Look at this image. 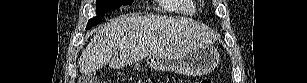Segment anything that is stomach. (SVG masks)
Returning a JSON list of instances; mask_svg holds the SVG:
<instances>
[{"label":"stomach","instance_id":"obj_1","mask_svg":"<svg viewBox=\"0 0 307 83\" xmlns=\"http://www.w3.org/2000/svg\"><path fill=\"white\" fill-rule=\"evenodd\" d=\"M219 63V52L211 44L183 49L172 55H152L147 64L157 71L187 76H202L212 72Z\"/></svg>","mask_w":307,"mask_h":83}]
</instances>
